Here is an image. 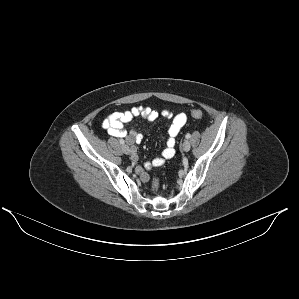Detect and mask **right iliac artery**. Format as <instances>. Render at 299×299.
Segmentation results:
<instances>
[{
  "mask_svg": "<svg viewBox=\"0 0 299 299\" xmlns=\"http://www.w3.org/2000/svg\"><path fill=\"white\" fill-rule=\"evenodd\" d=\"M119 142H120V144H122V145L125 143V141H124L123 139H120Z\"/></svg>",
  "mask_w": 299,
  "mask_h": 299,
  "instance_id": "82829eb1",
  "label": "right iliac artery"
}]
</instances>
